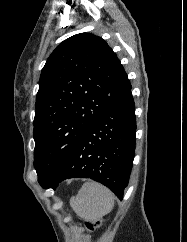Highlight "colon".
<instances>
[{
    "instance_id": "1",
    "label": "colon",
    "mask_w": 187,
    "mask_h": 242,
    "mask_svg": "<svg viewBox=\"0 0 187 242\" xmlns=\"http://www.w3.org/2000/svg\"><path fill=\"white\" fill-rule=\"evenodd\" d=\"M100 223H101L100 218H93L91 220H87L85 222V230L87 232H92L100 225Z\"/></svg>"
}]
</instances>
